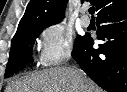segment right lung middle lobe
<instances>
[{
    "label": "right lung middle lobe",
    "mask_w": 127,
    "mask_h": 92,
    "mask_svg": "<svg viewBox=\"0 0 127 92\" xmlns=\"http://www.w3.org/2000/svg\"><path fill=\"white\" fill-rule=\"evenodd\" d=\"M48 26H34L12 39L9 60L6 66L4 77L7 78L21 67L32 63L33 44L43 29ZM84 36H77L74 49L83 40Z\"/></svg>",
    "instance_id": "obj_1"
}]
</instances>
